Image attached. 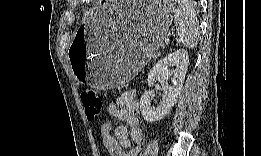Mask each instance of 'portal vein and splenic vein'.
<instances>
[{"label":"portal vein and splenic vein","instance_id":"1","mask_svg":"<svg viewBox=\"0 0 261 156\" xmlns=\"http://www.w3.org/2000/svg\"><path fill=\"white\" fill-rule=\"evenodd\" d=\"M165 43L168 44L169 43V39H165Z\"/></svg>","mask_w":261,"mask_h":156}]
</instances>
